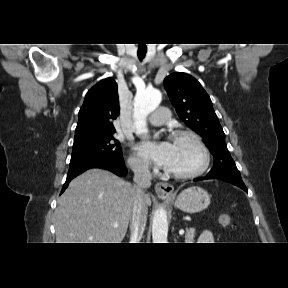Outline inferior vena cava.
I'll use <instances>...</instances> for the list:
<instances>
[{"instance_id": "1", "label": "inferior vena cava", "mask_w": 288, "mask_h": 288, "mask_svg": "<svg viewBox=\"0 0 288 288\" xmlns=\"http://www.w3.org/2000/svg\"><path fill=\"white\" fill-rule=\"evenodd\" d=\"M134 172V201L130 221V243H139L142 238L148 209L145 204V189L151 186L152 176L146 163H135L132 166Z\"/></svg>"}]
</instances>
